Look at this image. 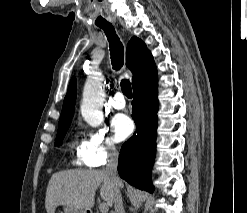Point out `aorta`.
I'll list each match as a JSON object with an SVG mask.
<instances>
[{"mask_svg": "<svg viewBox=\"0 0 247 213\" xmlns=\"http://www.w3.org/2000/svg\"><path fill=\"white\" fill-rule=\"evenodd\" d=\"M102 77L98 74L87 78L81 104V114L91 126H99L103 121L102 107L105 99Z\"/></svg>", "mask_w": 247, "mask_h": 213, "instance_id": "1", "label": "aorta"}]
</instances>
